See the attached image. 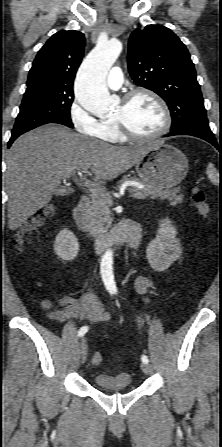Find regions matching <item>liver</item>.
<instances>
[{"instance_id": "obj_1", "label": "liver", "mask_w": 222, "mask_h": 447, "mask_svg": "<svg viewBox=\"0 0 222 447\" xmlns=\"http://www.w3.org/2000/svg\"><path fill=\"white\" fill-rule=\"evenodd\" d=\"M150 145L113 146L55 124L20 136L6 160L9 229L16 230L44 208L61 181L75 171L91 169L100 183L114 179L134 166Z\"/></svg>"}]
</instances>
